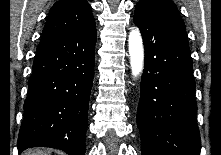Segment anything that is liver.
I'll use <instances>...</instances> for the list:
<instances>
[{
    "label": "liver",
    "mask_w": 221,
    "mask_h": 155,
    "mask_svg": "<svg viewBox=\"0 0 221 155\" xmlns=\"http://www.w3.org/2000/svg\"><path fill=\"white\" fill-rule=\"evenodd\" d=\"M50 153L49 150L36 148L25 151L23 155H50Z\"/></svg>",
    "instance_id": "liver-1"
}]
</instances>
